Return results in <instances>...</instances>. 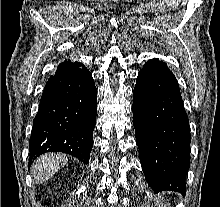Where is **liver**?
<instances>
[{
  "mask_svg": "<svg viewBox=\"0 0 220 207\" xmlns=\"http://www.w3.org/2000/svg\"><path fill=\"white\" fill-rule=\"evenodd\" d=\"M68 162L65 155L61 153H48L37 158L32 166L31 173L37 184L43 183L52 177Z\"/></svg>",
  "mask_w": 220,
  "mask_h": 207,
  "instance_id": "obj_1",
  "label": "liver"
}]
</instances>
